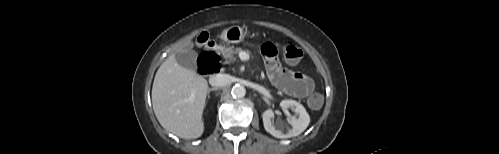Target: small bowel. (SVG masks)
Wrapping results in <instances>:
<instances>
[{"mask_svg": "<svg viewBox=\"0 0 499 154\" xmlns=\"http://www.w3.org/2000/svg\"><path fill=\"white\" fill-rule=\"evenodd\" d=\"M262 53L265 58L266 73L277 88L299 98L308 96L314 89V82L310 77L281 67L274 45L265 44Z\"/></svg>", "mask_w": 499, "mask_h": 154, "instance_id": "obj_1", "label": "small bowel"}]
</instances>
